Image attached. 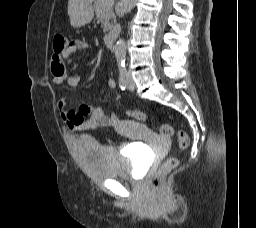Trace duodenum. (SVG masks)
Returning a JSON list of instances; mask_svg holds the SVG:
<instances>
[{
	"mask_svg": "<svg viewBox=\"0 0 256 228\" xmlns=\"http://www.w3.org/2000/svg\"><path fill=\"white\" fill-rule=\"evenodd\" d=\"M118 37V29H113L104 37V44L108 48H112L115 44V41Z\"/></svg>",
	"mask_w": 256,
	"mask_h": 228,
	"instance_id": "duodenum-1",
	"label": "duodenum"
}]
</instances>
